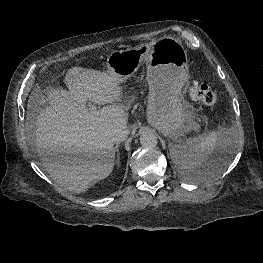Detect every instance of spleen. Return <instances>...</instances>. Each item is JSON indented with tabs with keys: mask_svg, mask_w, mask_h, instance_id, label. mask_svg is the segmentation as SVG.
<instances>
[{
	"mask_svg": "<svg viewBox=\"0 0 263 263\" xmlns=\"http://www.w3.org/2000/svg\"><path fill=\"white\" fill-rule=\"evenodd\" d=\"M240 140L238 131L231 128H218L207 134H200L186 139L181 144H173L170 147V155L179 171L192 182L217 178L228 167L230 157L237 149ZM221 148L224 157L221 158L217 171L210 175H201L196 169L207 160L211 152Z\"/></svg>",
	"mask_w": 263,
	"mask_h": 263,
	"instance_id": "1",
	"label": "spleen"
}]
</instances>
